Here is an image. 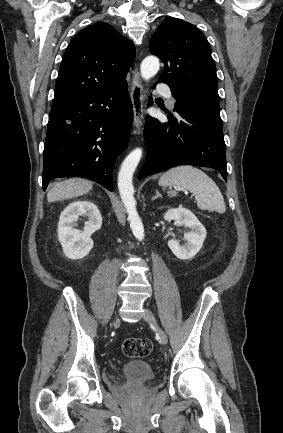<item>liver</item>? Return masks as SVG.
<instances>
[{"label":"liver","mask_w":283,"mask_h":433,"mask_svg":"<svg viewBox=\"0 0 283 433\" xmlns=\"http://www.w3.org/2000/svg\"><path fill=\"white\" fill-rule=\"evenodd\" d=\"M92 188V182L85 178H68L62 182H56L51 190L47 192L48 202L63 200V198H74L86 194Z\"/></svg>","instance_id":"6515ba94"}]
</instances>
